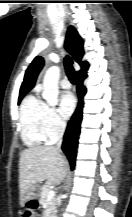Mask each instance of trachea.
I'll use <instances>...</instances> for the list:
<instances>
[{"instance_id": "3493384b", "label": "trachea", "mask_w": 132, "mask_h": 217, "mask_svg": "<svg viewBox=\"0 0 132 217\" xmlns=\"http://www.w3.org/2000/svg\"><path fill=\"white\" fill-rule=\"evenodd\" d=\"M64 66H65V71L66 74L71 81V83L75 84L76 83V74L75 70L73 68V60L70 56H66L64 59Z\"/></svg>"}]
</instances>
